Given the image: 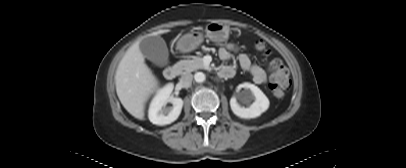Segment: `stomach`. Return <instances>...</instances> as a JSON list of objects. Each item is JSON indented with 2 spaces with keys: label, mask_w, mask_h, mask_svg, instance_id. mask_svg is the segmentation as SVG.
Segmentation results:
<instances>
[{
  "label": "stomach",
  "mask_w": 406,
  "mask_h": 168,
  "mask_svg": "<svg viewBox=\"0 0 406 168\" xmlns=\"http://www.w3.org/2000/svg\"><path fill=\"white\" fill-rule=\"evenodd\" d=\"M206 36L213 42L221 43L229 37V27L222 23L211 22L206 25ZM203 42L201 32L192 31L183 35L177 44V48L182 52H190L196 49Z\"/></svg>",
  "instance_id": "1"
}]
</instances>
